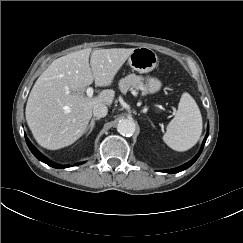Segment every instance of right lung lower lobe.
<instances>
[{
    "label": "right lung lower lobe",
    "mask_w": 243,
    "mask_h": 243,
    "mask_svg": "<svg viewBox=\"0 0 243 243\" xmlns=\"http://www.w3.org/2000/svg\"><path fill=\"white\" fill-rule=\"evenodd\" d=\"M25 140H26V143L29 147V149L31 150V152L34 154V156L39 159L40 161L46 163L47 165L51 166V167H54V168H58V169H61V168H66V167H69V166H65V165H58V164H55L53 162H51L50 160H48L46 157H44L32 144L31 142L29 141V139L27 138V136L25 135Z\"/></svg>",
    "instance_id": "right-lung-lower-lobe-1"
}]
</instances>
